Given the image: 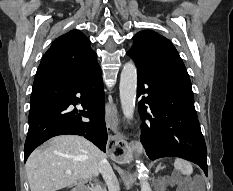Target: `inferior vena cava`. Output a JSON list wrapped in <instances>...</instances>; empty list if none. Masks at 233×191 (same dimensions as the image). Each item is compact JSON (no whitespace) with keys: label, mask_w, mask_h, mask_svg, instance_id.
Listing matches in <instances>:
<instances>
[{"label":"inferior vena cava","mask_w":233,"mask_h":191,"mask_svg":"<svg viewBox=\"0 0 233 191\" xmlns=\"http://www.w3.org/2000/svg\"><path fill=\"white\" fill-rule=\"evenodd\" d=\"M99 172L102 174L109 191H120L117 177L106 157L99 161Z\"/></svg>","instance_id":"inferior-vena-cava-1"}]
</instances>
